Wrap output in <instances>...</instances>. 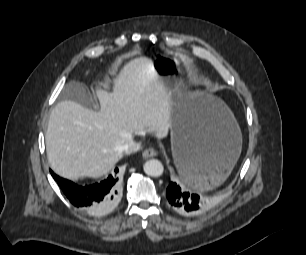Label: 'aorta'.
<instances>
[{
    "instance_id": "obj_1",
    "label": "aorta",
    "mask_w": 306,
    "mask_h": 255,
    "mask_svg": "<svg viewBox=\"0 0 306 255\" xmlns=\"http://www.w3.org/2000/svg\"><path fill=\"white\" fill-rule=\"evenodd\" d=\"M143 170L149 176L159 177L163 174L164 167L159 160L151 159L144 163Z\"/></svg>"
}]
</instances>
